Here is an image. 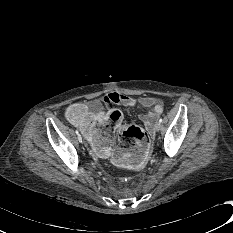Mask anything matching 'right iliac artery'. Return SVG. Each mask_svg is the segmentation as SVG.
<instances>
[{"instance_id":"1","label":"right iliac artery","mask_w":233,"mask_h":233,"mask_svg":"<svg viewBox=\"0 0 233 233\" xmlns=\"http://www.w3.org/2000/svg\"><path fill=\"white\" fill-rule=\"evenodd\" d=\"M76 134H77V135H80L79 132H78L77 130H76Z\"/></svg>"}]
</instances>
